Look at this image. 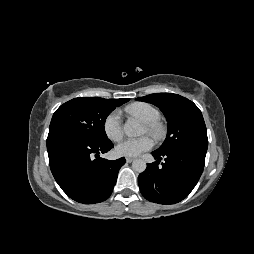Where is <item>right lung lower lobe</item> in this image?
Returning <instances> with one entry per match:
<instances>
[{
    "label": "right lung lower lobe",
    "instance_id": "obj_1",
    "mask_svg": "<svg viewBox=\"0 0 254 254\" xmlns=\"http://www.w3.org/2000/svg\"><path fill=\"white\" fill-rule=\"evenodd\" d=\"M110 140L95 142L63 129L49 130L47 151L52 174L61 189L83 204L99 203L111 195L125 158L103 159Z\"/></svg>",
    "mask_w": 254,
    "mask_h": 254
}]
</instances>
